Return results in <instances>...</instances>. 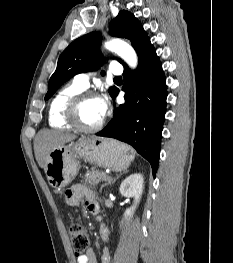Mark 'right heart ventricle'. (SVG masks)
Instances as JSON below:
<instances>
[{"label":"right heart ventricle","mask_w":233,"mask_h":263,"mask_svg":"<svg viewBox=\"0 0 233 263\" xmlns=\"http://www.w3.org/2000/svg\"><path fill=\"white\" fill-rule=\"evenodd\" d=\"M84 91L75 82H71L62 87L52 98L48 110V122L53 128H72V125L66 120L65 110L69 100L77 93Z\"/></svg>","instance_id":"obj_1"}]
</instances>
